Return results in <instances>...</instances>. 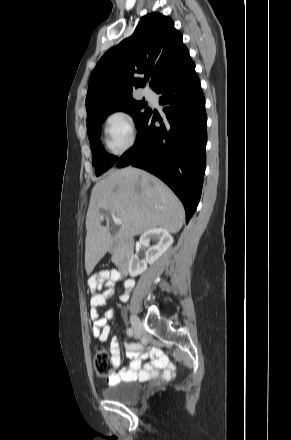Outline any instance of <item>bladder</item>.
Here are the masks:
<instances>
[{"label":"bladder","mask_w":291,"mask_h":440,"mask_svg":"<svg viewBox=\"0 0 291 440\" xmlns=\"http://www.w3.org/2000/svg\"><path fill=\"white\" fill-rule=\"evenodd\" d=\"M102 395L120 404L135 403L141 397L140 382L133 380L104 388Z\"/></svg>","instance_id":"31cf9c89"}]
</instances>
